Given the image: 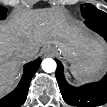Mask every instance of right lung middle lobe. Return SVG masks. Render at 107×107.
I'll return each mask as SVG.
<instances>
[{
    "label": "right lung middle lobe",
    "instance_id": "obj_1",
    "mask_svg": "<svg viewBox=\"0 0 107 107\" xmlns=\"http://www.w3.org/2000/svg\"><path fill=\"white\" fill-rule=\"evenodd\" d=\"M7 9L4 7H0V19H5Z\"/></svg>",
    "mask_w": 107,
    "mask_h": 107
}]
</instances>
